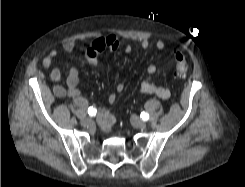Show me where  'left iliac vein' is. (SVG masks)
I'll use <instances>...</instances> for the list:
<instances>
[{
  "label": "left iliac vein",
  "instance_id": "obj_1",
  "mask_svg": "<svg viewBox=\"0 0 245 187\" xmlns=\"http://www.w3.org/2000/svg\"><path fill=\"white\" fill-rule=\"evenodd\" d=\"M131 122L136 128L139 129H145L147 126L146 122L138 118L136 115L131 116Z\"/></svg>",
  "mask_w": 245,
  "mask_h": 187
}]
</instances>
